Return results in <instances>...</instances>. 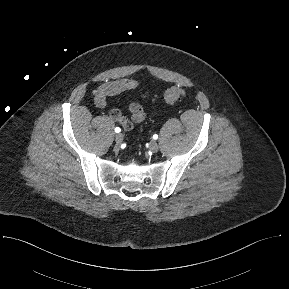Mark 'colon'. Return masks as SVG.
Listing matches in <instances>:
<instances>
[{"instance_id": "obj_1", "label": "colon", "mask_w": 289, "mask_h": 289, "mask_svg": "<svg viewBox=\"0 0 289 289\" xmlns=\"http://www.w3.org/2000/svg\"><path fill=\"white\" fill-rule=\"evenodd\" d=\"M184 95H185L184 89L180 87H171L168 90H166L164 94V100L165 102L171 104L180 100Z\"/></svg>"}]
</instances>
